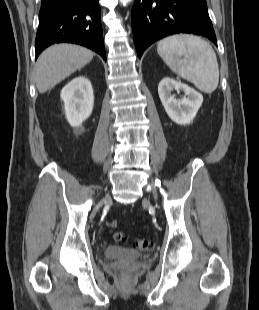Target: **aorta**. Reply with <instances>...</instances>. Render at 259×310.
Listing matches in <instances>:
<instances>
[{"label": "aorta", "instance_id": "1", "mask_svg": "<svg viewBox=\"0 0 259 310\" xmlns=\"http://www.w3.org/2000/svg\"><path fill=\"white\" fill-rule=\"evenodd\" d=\"M131 1L132 0H120V3L125 6L126 4L130 3Z\"/></svg>", "mask_w": 259, "mask_h": 310}]
</instances>
